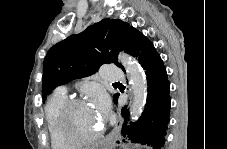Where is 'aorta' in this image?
Masks as SVG:
<instances>
[{
	"instance_id": "obj_1",
	"label": "aorta",
	"mask_w": 227,
	"mask_h": 149,
	"mask_svg": "<svg viewBox=\"0 0 227 149\" xmlns=\"http://www.w3.org/2000/svg\"><path fill=\"white\" fill-rule=\"evenodd\" d=\"M119 62L128 73L129 82L133 92V99L130 108L132 120H137L144 109L147 98V80L144 72L134 59L125 53L119 54Z\"/></svg>"
}]
</instances>
